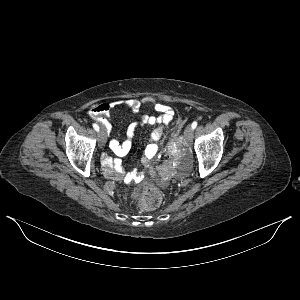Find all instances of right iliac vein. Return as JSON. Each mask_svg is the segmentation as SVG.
Returning <instances> with one entry per match:
<instances>
[{"instance_id": "obj_1", "label": "right iliac vein", "mask_w": 300, "mask_h": 300, "mask_svg": "<svg viewBox=\"0 0 300 300\" xmlns=\"http://www.w3.org/2000/svg\"><path fill=\"white\" fill-rule=\"evenodd\" d=\"M106 140H107V136H106V133L104 131L103 128H101L99 134H98V144H99V147H103L104 144L106 143Z\"/></svg>"}]
</instances>
